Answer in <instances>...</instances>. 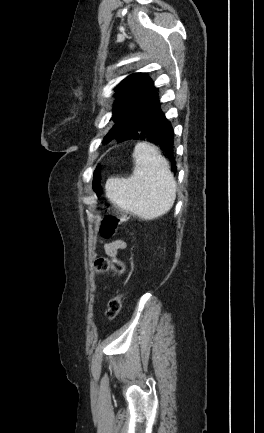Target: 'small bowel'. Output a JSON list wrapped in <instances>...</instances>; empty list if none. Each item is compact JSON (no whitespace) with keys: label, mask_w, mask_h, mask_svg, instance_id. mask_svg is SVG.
Returning <instances> with one entry per match:
<instances>
[{"label":"small bowel","mask_w":264,"mask_h":433,"mask_svg":"<svg viewBox=\"0 0 264 433\" xmlns=\"http://www.w3.org/2000/svg\"><path fill=\"white\" fill-rule=\"evenodd\" d=\"M125 246L126 244L123 241L106 242L104 243V252L108 256H115Z\"/></svg>","instance_id":"c3829d8e"}]
</instances>
